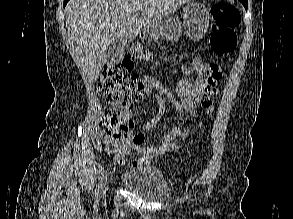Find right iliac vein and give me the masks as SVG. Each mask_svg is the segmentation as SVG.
<instances>
[{
  "label": "right iliac vein",
  "mask_w": 293,
  "mask_h": 219,
  "mask_svg": "<svg viewBox=\"0 0 293 219\" xmlns=\"http://www.w3.org/2000/svg\"><path fill=\"white\" fill-rule=\"evenodd\" d=\"M107 185H108V180H107V176H105L101 182L100 194H103L106 191Z\"/></svg>",
  "instance_id": "right-iliac-vein-1"
}]
</instances>
